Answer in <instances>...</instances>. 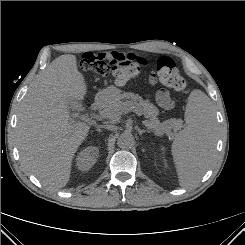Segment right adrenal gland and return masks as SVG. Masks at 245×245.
<instances>
[{
    "mask_svg": "<svg viewBox=\"0 0 245 245\" xmlns=\"http://www.w3.org/2000/svg\"><path fill=\"white\" fill-rule=\"evenodd\" d=\"M96 131H98V132H101V129H100V127H98Z\"/></svg>",
    "mask_w": 245,
    "mask_h": 245,
    "instance_id": "2a0ac1e0",
    "label": "right adrenal gland"
}]
</instances>
